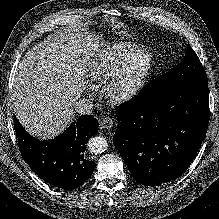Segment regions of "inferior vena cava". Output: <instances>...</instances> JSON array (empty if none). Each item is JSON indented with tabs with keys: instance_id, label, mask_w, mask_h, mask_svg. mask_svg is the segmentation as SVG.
<instances>
[{
	"instance_id": "obj_1",
	"label": "inferior vena cava",
	"mask_w": 219,
	"mask_h": 219,
	"mask_svg": "<svg viewBox=\"0 0 219 219\" xmlns=\"http://www.w3.org/2000/svg\"><path fill=\"white\" fill-rule=\"evenodd\" d=\"M93 107V102L85 98L77 101L74 105L75 111L82 115L91 114L93 112Z\"/></svg>"
}]
</instances>
